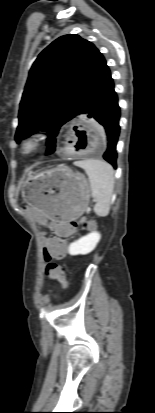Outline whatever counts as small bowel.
I'll return each instance as SVG.
<instances>
[{
    "label": "small bowel",
    "instance_id": "small-bowel-1",
    "mask_svg": "<svg viewBox=\"0 0 155 413\" xmlns=\"http://www.w3.org/2000/svg\"><path fill=\"white\" fill-rule=\"evenodd\" d=\"M25 212L29 214L30 217H34V221L40 225L46 221V216L44 214H36V207L34 205H27L25 207ZM46 229L47 231H55L62 236H69L74 231L65 224L58 226L57 222H47Z\"/></svg>",
    "mask_w": 155,
    "mask_h": 413
}]
</instances>
